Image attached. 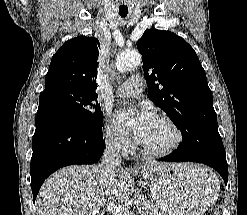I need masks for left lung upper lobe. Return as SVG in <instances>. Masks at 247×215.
I'll use <instances>...</instances> for the list:
<instances>
[{
    "label": "left lung upper lobe",
    "mask_w": 247,
    "mask_h": 215,
    "mask_svg": "<svg viewBox=\"0 0 247 215\" xmlns=\"http://www.w3.org/2000/svg\"><path fill=\"white\" fill-rule=\"evenodd\" d=\"M143 58L148 97L180 129L193 133L217 130V115L205 71L193 48L169 31L146 30L137 42Z\"/></svg>",
    "instance_id": "obj_1"
}]
</instances>
